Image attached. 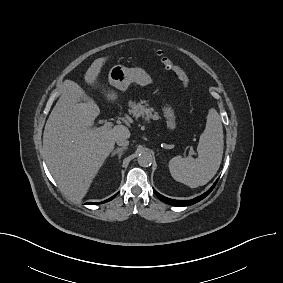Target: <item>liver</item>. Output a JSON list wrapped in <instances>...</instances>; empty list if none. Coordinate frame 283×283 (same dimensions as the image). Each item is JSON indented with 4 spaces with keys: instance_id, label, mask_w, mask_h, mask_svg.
I'll return each mask as SVG.
<instances>
[{
    "instance_id": "6515ba94",
    "label": "liver",
    "mask_w": 283,
    "mask_h": 283,
    "mask_svg": "<svg viewBox=\"0 0 283 283\" xmlns=\"http://www.w3.org/2000/svg\"><path fill=\"white\" fill-rule=\"evenodd\" d=\"M108 58L96 59L85 73V82L97 84V78ZM97 87V86H96ZM110 103L118 99L114 91H105ZM81 98L86 101L82 102ZM100 109L94 99L75 82L69 81L51 111L43 134L47 166L60 190L71 200L81 201L112 152L119 138H129L124 125L108 130L93 129Z\"/></svg>"
}]
</instances>
